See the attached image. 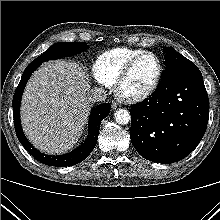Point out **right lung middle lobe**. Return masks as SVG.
I'll use <instances>...</instances> for the list:
<instances>
[{"instance_id":"dd1d6c3e","label":"right lung middle lobe","mask_w":220,"mask_h":220,"mask_svg":"<svg viewBox=\"0 0 220 220\" xmlns=\"http://www.w3.org/2000/svg\"><path fill=\"white\" fill-rule=\"evenodd\" d=\"M86 49H88V46L84 42H58L52 45L47 51L34 59L31 63L40 65L42 62L48 60L77 55Z\"/></svg>"}]
</instances>
